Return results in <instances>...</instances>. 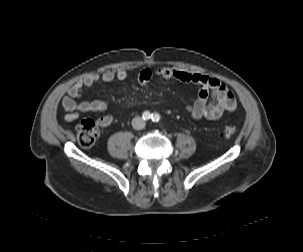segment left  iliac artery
<instances>
[{"label":"left iliac artery","mask_w":303,"mask_h":252,"mask_svg":"<svg viewBox=\"0 0 303 252\" xmlns=\"http://www.w3.org/2000/svg\"><path fill=\"white\" fill-rule=\"evenodd\" d=\"M153 122H158L160 120V115L157 113L152 114Z\"/></svg>","instance_id":"44dca946"}]
</instances>
